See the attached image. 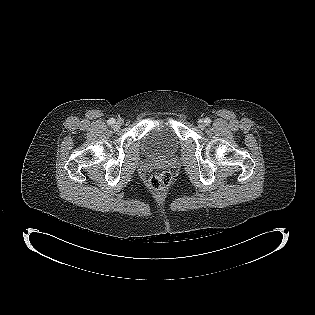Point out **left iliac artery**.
Returning a JSON list of instances; mask_svg holds the SVG:
<instances>
[{
	"instance_id": "44dca946",
	"label": "left iliac artery",
	"mask_w": 315,
	"mask_h": 315,
	"mask_svg": "<svg viewBox=\"0 0 315 315\" xmlns=\"http://www.w3.org/2000/svg\"><path fill=\"white\" fill-rule=\"evenodd\" d=\"M204 122L206 125H210L211 119L207 117V118H205Z\"/></svg>"
}]
</instances>
